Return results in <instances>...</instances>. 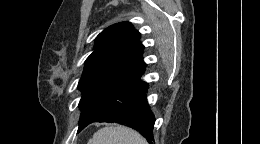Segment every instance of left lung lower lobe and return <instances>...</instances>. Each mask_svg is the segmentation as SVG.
<instances>
[{"label": "left lung lower lobe", "mask_w": 260, "mask_h": 144, "mask_svg": "<svg viewBox=\"0 0 260 144\" xmlns=\"http://www.w3.org/2000/svg\"><path fill=\"white\" fill-rule=\"evenodd\" d=\"M145 67L133 75L101 109L93 122H108L127 125L139 131L152 144L155 117L146 99L148 84L141 81Z\"/></svg>", "instance_id": "0a47b994"}]
</instances>
